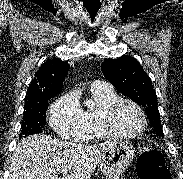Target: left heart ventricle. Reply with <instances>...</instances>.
<instances>
[{
    "label": "left heart ventricle",
    "mask_w": 183,
    "mask_h": 179,
    "mask_svg": "<svg viewBox=\"0 0 183 179\" xmlns=\"http://www.w3.org/2000/svg\"><path fill=\"white\" fill-rule=\"evenodd\" d=\"M143 124L140 113L131 105H123L115 116L116 128L125 134L137 132Z\"/></svg>",
    "instance_id": "left-heart-ventricle-1"
}]
</instances>
